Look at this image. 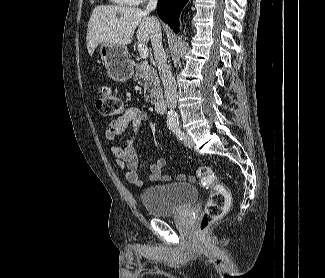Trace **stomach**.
<instances>
[{
	"mask_svg": "<svg viewBox=\"0 0 325 278\" xmlns=\"http://www.w3.org/2000/svg\"><path fill=\"white\" fill-rule=\"evenodd\" d=\"M100 55L112 79L125 82L132 77L133 65L128 58L126 46L100 44Z\"/></svg>",
	"mask_w": 325,
	"mask_h": 278,
	"instance_id": "stomach-1",
	"label": "stomach"
}]
</instances>
